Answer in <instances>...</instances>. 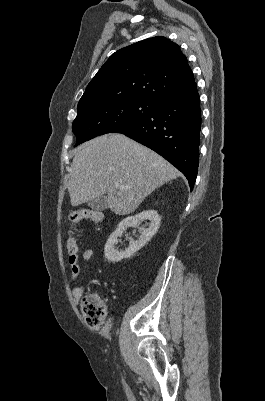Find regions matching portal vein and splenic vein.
<instances>
[{
    "mask_svg": "<svg viewBox=\"0 0 265 401\" xmlns=\"http://www.w3.org/2000/svg\"><path fill=\"white\" fill-rule=\"evenodd\" d=\"M116 186H120V188H126V186H124V184H116Z\"/></svg>",
    "mask_w": 265,
    "mask_h": 401,
    "instance_id": "18ae733b",
    "label": "portal vein and splenic vein"
}]
</instances>
